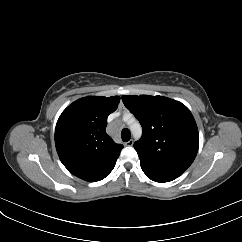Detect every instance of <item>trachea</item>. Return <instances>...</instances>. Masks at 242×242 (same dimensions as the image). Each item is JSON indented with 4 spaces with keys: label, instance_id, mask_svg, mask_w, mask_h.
Listing matches in <instances>:
<instances>
[{
    "label": "trachea",
    "instance_id": "3493384b",
    "mask_svg": "<svg viewBox=\"0 0 242 242\" xmlns=\"http://www.w3.org/2000/svg\"><path fill=\"white\" fill-rule=\"evenodd\" d=\"M121 137H122V140H123L124 142L129 141L130 138H131V133H130L129 129L124 128V129L122 130V132H121Z\"/></svg>",
    "mask_w": 242,
    "mask_h": 242
}]
</instances>
